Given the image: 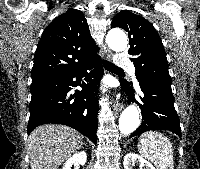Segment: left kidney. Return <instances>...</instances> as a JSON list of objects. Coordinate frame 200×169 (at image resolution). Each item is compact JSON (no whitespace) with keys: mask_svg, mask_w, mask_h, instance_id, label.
I'll list each match as a JSON object with an SVG mask.
<instances>
[{"mask_svg":"<svg viewBox=\"0 0 200 169\" xmlns=\"http://www.w3.org/2000/svg\"><path fill=\"white\" fill-rule=\"evenodd\" d=\"M124 169H132L133 166L139 165L140 169H155V167L136 153H128L124 156Z\"/></svg>","mask_w":200,"mask_h":169,"instance_id":"left-kidney-1","label":"left kidney"}]
</instances>
